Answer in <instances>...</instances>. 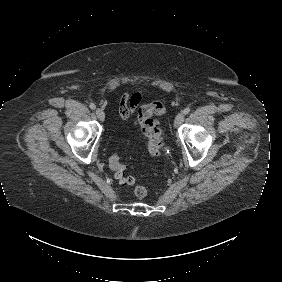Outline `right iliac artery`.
Returning a JSON list of instances; mask_svg holds the SVG:
<instances>
[{"label":"right iliac artery","instance_id":"obj_1","mask_svg":"<svg viewBox=\"0 0 282 282\" xmlns=\"http://www.w3.org/2000/svg\"><path fill=\"white\" fill-rule=\"evenodd\" d=\"M89 107H90L92 110H94V109L96 108V105H95L94 103H91V104L89 105Z\"/></svg>","mask_w":282,"mask_h":282}]
</instances>
